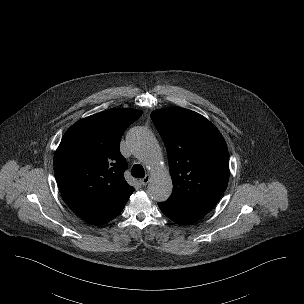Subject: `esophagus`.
Listing matches in <instances>:
<instances>
[{"label": "esophagus", "mask_w": 304, "mask_h": 304, "mask_svg": "<svg viewBox=\"0 0 304 304\" xmlns=\"http://www.w3.org/2000/svg\"><path fill=\"white\" fill-rule=\"evenodd\" d=\"M149 181H150V175L149 174H147V175H145V177L143 178V179H141V184L143 185V186H145V185H147L148 183H149Z\"/></svg>", "instance_id": "1"}]
</instances>
